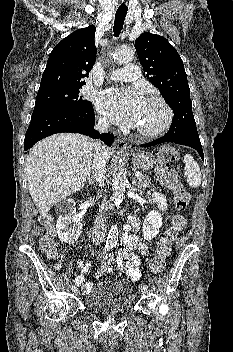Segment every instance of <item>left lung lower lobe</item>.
<instances>
[{"label":"left lung lower lobe","mask_w":233,"mask_h":352,"mask_svg":"<svg viewBox=\"0 0 233 352\" xmlns=\"http://www.w3.org/2000/svg\"><path fill=\"white\" fill-rule=\"evenodd\" d=\"M165 142H171V143L192 147L197 150L202 160L204 161L203 149H202L197 131L186 132L182 134L167 132L163 137L159 139H156L146 144H141V147H150V146H154Z\"/></svg>","instance_id":"0a47b994"}]
</instances>
